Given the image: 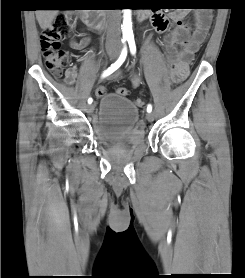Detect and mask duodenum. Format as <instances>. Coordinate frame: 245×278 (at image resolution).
<instances>
[{
  "label": "duodenum",
  "instance_id": "obj_1",
  "mask_svg": "<svg viewBox=\"0 0 245 278\" xmlns=\"http://www.w3.org/2000/svg\"><path fill=\"white\" fill-rule=\"evenodd\" d=\"M147 17L146 11L139 12V19L142 20ZM83 21L93 29H101L104 25V20L101 14L94 10H87L82 15Z\"/></svg>",
  "mask_w": 245,
  "mask_h": 278
}]
</instances>
